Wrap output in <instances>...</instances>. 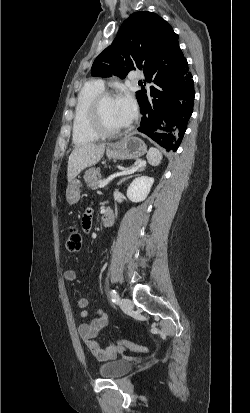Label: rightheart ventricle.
<instances>
[{
  "mask_svg": "<svg viewBox=\"0 0 250 413\" xmlns=\"http://www.w3.org/2000/svg\"><path fill=\"white\" fill-rule=\"evenodd\" d=\"M103 91L96 82L86 83L78 93L72 128L74 144L81 146L93 143L99 139L89 121V108L93 98Z\"/></svg>",
  "mask_w": 250,
  "mask_h": 413,
  "instance_id": "e07e8e85",
  "label": "right heart ventricle"
}]
</instances>
